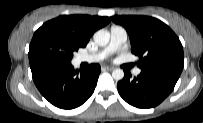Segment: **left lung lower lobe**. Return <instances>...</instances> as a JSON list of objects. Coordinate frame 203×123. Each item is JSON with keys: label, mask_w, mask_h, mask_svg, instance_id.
<instances>
[{"label": "left lung lower lobe", "mask_w": 203, "mask_h": 123, "mask_svg": "<svg viewBox=\"0 0 203 123\" xmlns=\"http://www.w3.org/2000/svg\"><path fill=\"white\" fill-rule=\"evenodd\" d=\"M118 82L120 96L137 108H152L160 104L174 89L180 73L171 70L147 69L134 78L125 71Z\"/></svg>", "instance_id": "obj_1"}]
</instances>
